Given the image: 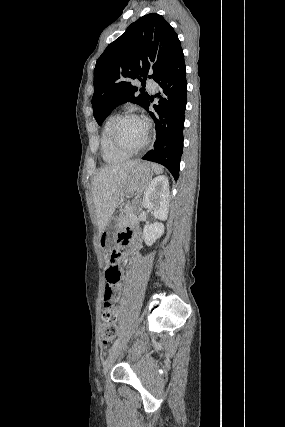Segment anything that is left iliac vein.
Masks as SVG:
<instances>
[{
    "instance_id": "1",
    "label": "left iliac vein",
    "mask_w": 285,
    "mask_h": 427,
    "mask_svg": "<svg viewBox=\"0 0 285 427\" xmlns=\"http://www.w3.org/2000/svg\"><path fill=\"white\" fill-rule=\"evenodd\" d=\"M126 344L125 343H121L118 346H116L108 355L106 361L103 364V374L106 376L113 363L116 361V359L118 358V356L121 354V352L124 350Z\"/></svg>"
}]
</instances>
